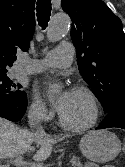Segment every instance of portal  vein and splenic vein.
I'll list each match as a JSON object with an SVG mask.
<instances>
[{"mask_svg":"<svg viewBox=\"0 0 125 167\" xmlns=\"http://www.w3.org/2000/svg\"><path fill=\"white\" fill-rule=\"evenodd\" d=\"M7 162L14 164L17 167H42L39 164L24 162L22 156H18L15 159L10 158V160H8ZM70 163L73 164V163H75V161L72 159V160H70Z\"/></svg>","mask_w":125,"mask_h":167,"instance_id":"18ae733b","label":"portal vein and splenic vein"}]
</instances>
